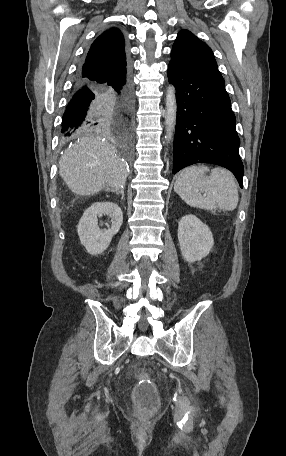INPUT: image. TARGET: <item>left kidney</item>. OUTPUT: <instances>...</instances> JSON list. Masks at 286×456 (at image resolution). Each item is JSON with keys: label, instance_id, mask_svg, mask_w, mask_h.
<instances>
[{"label": "left kidney", "instance_id": "obj_1", "mask_svg": "<svg viewBox=\"0 0 286 456\" xmlns=\"http://www.w3.org/2000/svg\"><path fill=\"white\" fill-rule=\"evenodd\" d=\"M178 240L182 257L189 263L200 261L207 256L214 245L209 227L192 214L179 221Z\"/></svg>", "mask_w": 286, "mask_h": 456}]
</instances>
